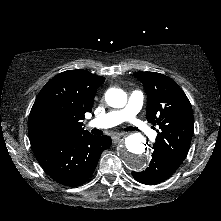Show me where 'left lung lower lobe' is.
<instances>
[{"label": "left lung lower lobe", "instance_id": "left-lung-lower-lobe-1", "mask_svg": "<svg viewBox=\"0 0 221 221\" xmlns=\"http://www.w3.org/2000/svg\"><path fill=\"white\" fill-rule=\"evenodd\" d=\"M176 169L160 151L154 149L149 167L142 172H132V176L140 183L156 184L169 178Z\"/></svg>", "mask_w": 221, "mask_h": 221}]
</instances>
